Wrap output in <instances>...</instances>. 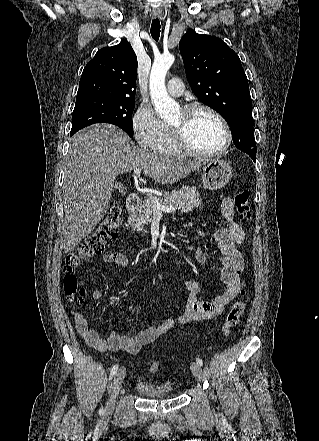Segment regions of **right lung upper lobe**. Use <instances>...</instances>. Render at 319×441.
<instances>
[{"label":"right lung upper lobe","instance_id":"1","mask_svg":"<svg viewBox=\"0 0 319 441\" xmlns=\"http://www.w3.org/2000/svg\"><path fill=\"white\" fill-rule=\"evenodd\" d=\"M137 57L127 40L100 49L85 66L77 99L111 98L135 101Z\"/></svg>","mask_w":319,"mask_h":441}]
</instances>
